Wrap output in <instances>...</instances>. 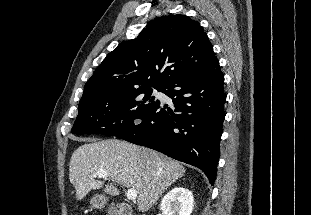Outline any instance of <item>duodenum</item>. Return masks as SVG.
<instances>
[{"mask_svg": "<svg viewBox=\"0 0 311 215\" xmlns=\"http://www.w3.org/2000/svg\"><path fill=\"white\" fill-rule=\"evenodd\" d=\"M114 215H132V210L126 204H119L114 209Z\"/></svg>", "mask_w": 311, "mask_h": 215, "instance_id": "obj_1", "label": "duodenum"}]
</instances>
